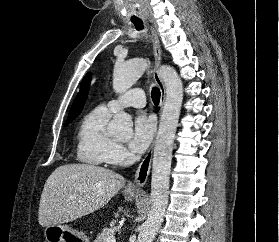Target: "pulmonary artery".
Listing matches in <instances>:
<instances>
[{"mask_svg":"<svg viewBox=\"0 0 279 242\" xmlns=\"http://www.w3.org/2000/svg\"><path fill=\"white\" fill-rule=\"evenodd\" d=\"M146 104V96L145 92L140 89H132L125 93L124 95L120 96L117 99H113L108 102V108L111 111H116L118 109H121L123 107H136L141 108L144 107Z\"/></svg>","mask_w":279,"mask_h":242,"instance_id":"pulmonary-artery-1","label":"pulmonary artery"}]
</instances>
